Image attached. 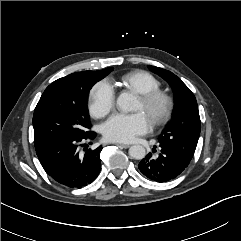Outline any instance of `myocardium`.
Instances as JSON below:
<instances>
[{"label": "myocardium", "mask_w": 241, "mask_h": 241, "mask_svg": "<svg viewBox=\"0 0 241 241\" xmlns=\"http://www.w3.org/2000/svg\"><path fill=\"white\" fill-rule=\"evenodd\" d=\"M138 99L142 102L144 110L154 126H162L170 120L174 109V101L167 92L160 89L154 90L139 94Z\"/></svg>", "instance_id": "myocardium-1"}]
</instances>
